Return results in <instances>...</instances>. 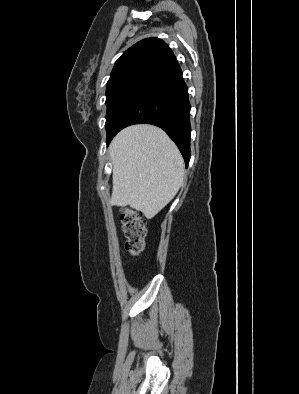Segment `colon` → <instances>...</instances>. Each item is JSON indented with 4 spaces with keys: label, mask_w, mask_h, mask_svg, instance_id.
Returning <instances> with one entry per match:
<instances>
[{
    "label": "colon",
    "mask_w": 299,
    "mask_h": 394,
    "mask_svg": "<svg viewBox=\"0 0 299 394\" xmlns=\"http://www.w3.org/2000/svg\"><path fill=\"white\" fill-rule=\"evenodd\" d=\"M121 221L126 236V249L133 255L138 256L145 246L146 227L141 215L130 208L121 211Z\"/></svg>",
    "instance_id": "1"
}]
</instances>
